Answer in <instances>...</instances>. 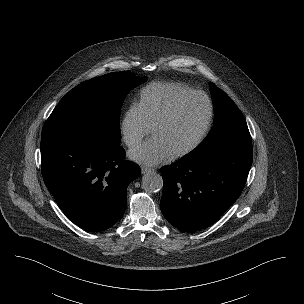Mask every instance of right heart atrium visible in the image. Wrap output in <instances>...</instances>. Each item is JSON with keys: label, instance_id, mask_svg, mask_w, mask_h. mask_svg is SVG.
<instances>
[{"label": "right heart atrium", "instance_id": "right-heart-atrium-1", "mask_svg": "<svg viewBox=\"0 0 304 304\" xmlns=\"http://www.w3.org/2000/svg\"><path fill=\"white\" fill-rule=\"evenodd\" d=\"M150 127L145 121L137 102H132L120 121V134L129 148L137 146L149 133Z\"/></svg>", "mask_w": 304, "mask_h": 304}]
</instances>
